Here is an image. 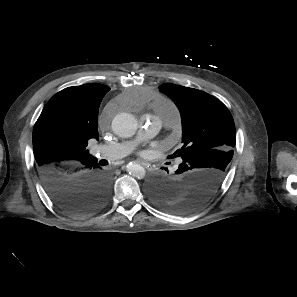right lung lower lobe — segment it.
<instances>
[{"instance_id":"right-lung-lower-lobe-1","label":"right lung lower lobe","mask_w":297,"mask_h":297,"mask_svg":"<svg viewBox=\"0 0 297 297\" xmlns=\"http://www.w3.org/2000/svg\"><path fill=\"white\" fill-rule=\"evenodd\" d=\"M38 173L52 201L69 214H92L108 201L110 179L96 158L39 168Z\"/></svg>"}]
</instances>
